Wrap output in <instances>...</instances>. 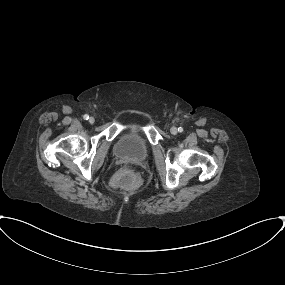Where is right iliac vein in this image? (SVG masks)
I'll use <instances>...</instances> for the list:
<instances>
[{
	"instance_id": "obj_1",
	"label": "right iliac vein",
	"mask_w": 285,
	"mask_h": 285,
	"mask_svg": "<svg viewBox=\"0 0 285 285\" xmlns=\"http://www.w3.org/2000/svg\"><path fill=\"white\" fill-rule=\"evenodd\" d=\"M94 122H95V119H94L93 117H90L89 123H90V124H93Z\"/></svg>"
}]
</instances>
